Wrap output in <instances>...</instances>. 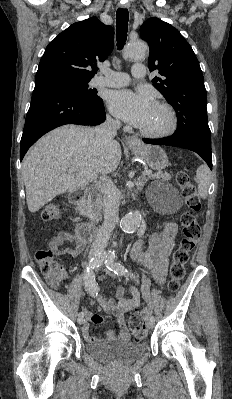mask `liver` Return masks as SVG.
<instances>
[{
  "label": "liver",
  "mask_w": 232,
  "mask_h": 399,
  "mask_svg": "<svg viewBox=\"0 0 232 399\" xmlns=\"http://www.w3.org/2000/svg\"><path fill=\"white\" fill-rule=\"evenodd\" d=\"M96 128L62 126L52 130L28 150L22 162L29 211L59 194L88 186L98 174L115 172L121 160L118 142L102 144Z\"/></svg>",
  "instance_id": "1"
}]
</instances>
